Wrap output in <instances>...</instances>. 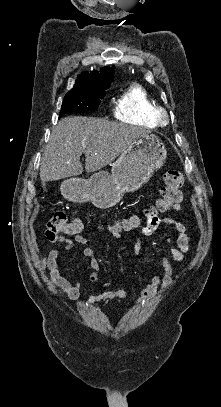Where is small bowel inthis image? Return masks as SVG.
Wrapping results in <instances>:
<instances>
[{"instance_id":"obj_1","label":"small bowel","mask_w":221,"mask_h":407,"mask_svg":"<svg viewBox=\"0 0 221 407\" xmlns=\"http://www.w3.org/2000/svg\"><path fill=\"white\" fill-rule=\"evenodd\" d=\"M176 213H182L181 205L178 203L172 208ZM146 222L139 228L138 231L132 232V237L135 241L134 254L137 257L142 256L144 252V247L146 243L143 241L142 237L150 236L156 232L161 224L168 225L177 233V239L173 240L171 237L165 238V243L168 247L170 257L162 255L160 256L161 267L163 270L162 275L155 274L150 279L147 286L140 292L137 299L130 302V305L138 306L143 305L152 299L158 292L159 288L163 289L171 286L176 280L177 276L173 274L172 261L182 263L185 260L186 255L189 253L191 248V236L188 233L187 227L181 221L173 218H159L152 216L145 211ZM110 232L118 237L117 231L110 229ZM52 243H58L61 248L52 249L41 261V268L49 271L52 283L61 291H63L68 301H76L81 296V284L80 282L68 279L60 273L58 267V258L63 254L69 252L74 243L85 246L83 250L84 256L90 258V271L88 274L89 284L97 288L99 283V263L95 258V254L92 248L87 247L88 244V233L87 231L72 235V236H60L52 240ZM111 283L103 284V289H108L111 287ZM131 295V291L126 289H118L114 291H104L99 292L95 289L89 296L86 305L88 307L102 302L104 300H111L115 298L125 299Z\"/></svg>"}]
</instances>
